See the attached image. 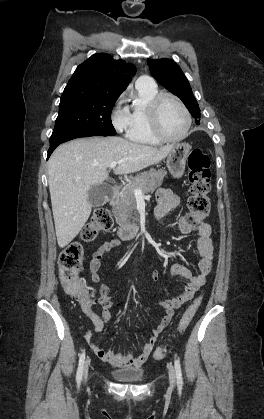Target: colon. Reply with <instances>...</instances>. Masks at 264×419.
<instances>
[{"mask_svg":"<svg viewBox=\"0 0 264 419\" xmlns=\"http://www.w3.org/2000/svg\"><path fill=\"white\" fill-rule=\"evenodd\" d=\"M188 179L190 183V197L188 199L189 213L186 215V222L193 228L201 226V220L205 218L210 210L208 194L210 192V161L208 156L201 150H193L188 157ZM112 216L106 209L97 210L88 224L85 226L82 236L84 240L96 239L101 233L113 228ZM83 262V248L80 243L68 245L59 255V275L65 292L79 299L82 308L90 309L92 297L79 273ZM201 303L197 298L183 314L178 332H184ZM167 349L159 347L154 352V358L160 360L165 357Z\"/></svg>","mask_w":264,"mask_h":419,"instance_id":"obj_1","label":"colon"}]
</instances>
